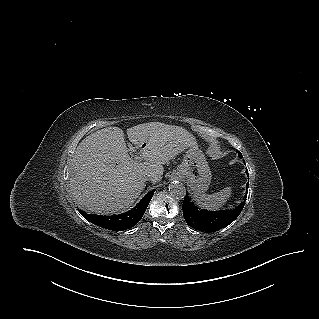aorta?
Segmentation results:
<instances>
[{"mask_svg":"<svg viewBox=\"0 0 319 319\" xmlns=\"http://www.w3.org/2000/svg\"><path fill=\"white\" fill-rule=\"evenodd\" d=\"M169 191L170 194L176 198H183L186 195L185 186L178 181L169 184Z\"/></svg>","mask_w":319,"mask_h":319,"instance_id":"aorta-1","label":"aorta"}]
</instances>
